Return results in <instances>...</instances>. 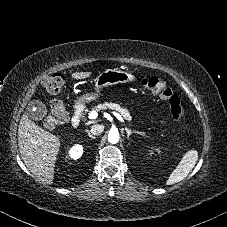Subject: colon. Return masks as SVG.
I'll list each match as a JSON object with an SVG mask.
<instances>
[{"mask_svg":"<svg viewBox=\"0 0 227 227\" xmlns=\"http://www.w3.org/2000/svg\"><path fill=\"white\" fill-rule=\"evenodd\" d=\"M65 84V77L61 73L50 75L45 81L46 90L57 95ZM144 88L162 99L169 100L170 114L175 120H183L186 116V109L180 99L174 95L172 84L160 76H144L141 80ZM68 112L63 102L54 98L50 103V112L45 120V127L48 130H56L68 121Z\"/></svg>","mask_w":227,"mask_h":227,"instance_id":"1","label":"colon"}]
</instances>
